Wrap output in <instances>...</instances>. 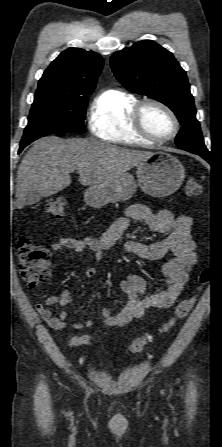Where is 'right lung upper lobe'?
I'll return each mask as SVG.
<instances>
[{
    "mask_svg": "<svg viewBox=\"0 0 222 447\" xmlns=\"http://www.w3.org/2000/svg\"><path fill=\"white\" fill-rule=\"evenodd\" d=\"M103 66L102 57L80 48H68L44 71L38 89H56L66 94L92 93Z\"/></svg>",
    "mask_w": 222,
    "mask_h": 447,
    "instance_id": "right-lung-upper-lobe-1",
    "label": "right lung upper lobe"
}]
</instances>
